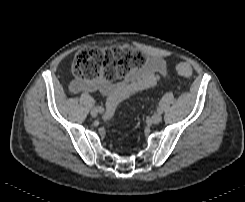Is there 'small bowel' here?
I'll return each mask as SVG.
<instances>
[{"label":"small bowel","mask_w":245,"mask_h":202,"mask_svg":"<svg viewBox=\"0 0 245 202\" xmlns=\"http://www.w3.org/2000/svg\"><path fill=\"white\" fill-rule=\"evenodd\" d=\"M168 77L167 65L159 56L147 57L142 67L133 68L126 78L120 82H112L104 77L93 80L76 79L72 83V91L94 92L99 91L108 97V103L114 109L125 98L154 86L159 77Z\"/></svg>","instance_id":"c3829d8e"}]
</instances>
